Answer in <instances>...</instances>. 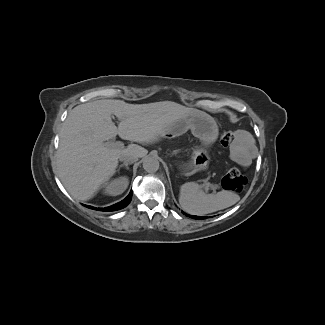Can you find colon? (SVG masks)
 <instances>
[{
    "label": "colon",
    "mask_w": 325,
    "mask_h": 325,
    "mask_svg": "<svg viewBox=\"0 0 325 325\" xmlns=\"http://www.w3.org/2000/svg\"><path fill=\"white\" fill-rule=\"evenodd\" d=\"M233 139L229 131H223L220 135V142L223 146H228ZM246 177L237 168L231 169L221 180V185L225 190L240 192L246 185Z\"/></svg>",
    "instance_id": "obj_1"
}]
</instances>
